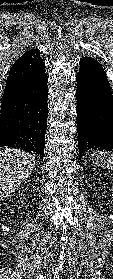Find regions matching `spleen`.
Segmentation results:
<instances>
[{"mask_svg":"<svg viewBox=\"0 0 113 279\" xmlns=\"http://www.w3.org/2000/svg\"><path fill=\"white\" fill-rule=\"evenodd\" d=\"M91 161L103 169L113 170V154L111 155L109 152L94 151L91 154Z\"/></svg>","mask_w":113,"mask_h":279,"instance_id":"3e777b00","label":"spleen"}]
</instances>
